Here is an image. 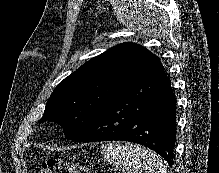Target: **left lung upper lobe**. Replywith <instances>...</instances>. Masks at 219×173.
I'll list each match as a JSON object with an SVG mask.
<instances>
[{
	"mask_svg": "<svg viewBox=\"0 0 219 173\" xmlns=\"http://www.w3.org/2000/svg\"><path fill=\"white\" fill-rule=\"evenodd\" d=\"M151 55L137 44L123 43L94 57L58 84L39 122L55 121L67 139H78L138 79Z\"/></svg>",
	"mask_w": 219,
	"mask_h": 173,
	"instance_id": "1",
	"label": "left lung upper lobe"
}]
</instances>
